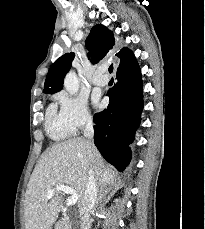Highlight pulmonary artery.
I'll return each mask as SVG.
<instances>
[{
    "label": "pulmonary artery",
    "mask_w": 205,
    "mask_h": 229,
    "mask_svg": "<svg viewBox=\"0 0 205 229\" xmlns=\"http://www.w3.org/2000/svg\"><path fill=\"white\" fill-rule=\"evenodd\" d=\"M107 78H105L104 76H102L101 74H96L93 78V83L97 86H104L107 83Z\"/></svg>",
    "instance_id": "e3ab8cb5"
}]
</instances>
